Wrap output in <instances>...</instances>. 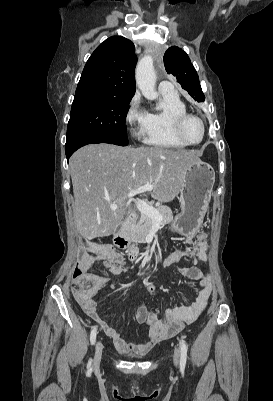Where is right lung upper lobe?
Returning <instances> with one entry per match:
<instances>
[{
	"instance_id": "right-lung-upper-lobe-1",
	"label": "right lung upper lobe",
	"mask_w": 273,
	"mask_h": 401,
	"mask_svg": "<svg viewBox=\"0 0 273 401\" xmlns=\"http://www.w3.org/2000/svg\"><path fill=\"white\" fill-rule=\"evenodd\" d=\"M134 44L120 36L105 40L88 59L75 97L84 95L132 99L135 93Z\"/></svg>"
}]
</instances>
